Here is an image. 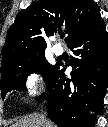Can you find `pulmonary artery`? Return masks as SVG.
Segmentation results:
<instances>
[{
	"instance_id": "e3ab8cb5",
	"label": "pulmonary artery",
	"mask_w": 108,
	"mask_h": 127,
	"mask_svg": "<svg viewBox=\"0 0 108 127\" xmlns=\"http://www.w3.org/2000/svg\"><path fill=\"white\" fill-rule=\"evenodd\" d=\"M53 53L57 56H60L63 54V48L60 45H55L52 49Z\"/></svg>"
}]
</instances>
